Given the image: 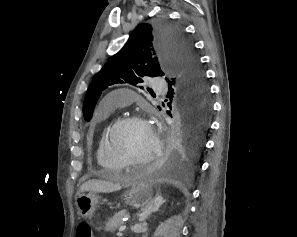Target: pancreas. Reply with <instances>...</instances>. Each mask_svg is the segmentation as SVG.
Segmentation results:
<instances>
[{
	"label": "pancreas",
	"mask_w": 297,
	"mask_h": 237,
	"mask_svg": "<svg viewBox=\"0 0 297 237\" xmlns=\"http://www.w3.org/2000/svg\"><path fill=\"white\" fill-rule=\"evenodd\" d=\"M125 215H126L125 211H120L116 213L106 223L105 231L114 232L117 228H119L123 224L122 218L125 217Z\"/></svg>",
	"instance_id": "cf45deb5"
}]
</instances>
